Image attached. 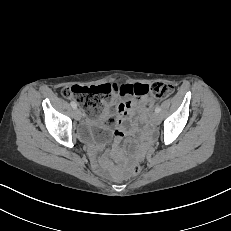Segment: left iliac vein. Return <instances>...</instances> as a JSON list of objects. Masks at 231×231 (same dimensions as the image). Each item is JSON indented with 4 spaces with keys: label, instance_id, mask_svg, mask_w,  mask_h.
Instances as JSON below:
<instances>
[{
    "label": "left iliac vein",
    "instance_id": "4c4485c4",
    "mask_svg": "<svg viewBox=\"0 0 231 231\" xmlns=\"http://www.w3.org/2000/svg\"><path fill=\"white\" fill-rule=\"evenodd\" d=\"M151 121L154 123V124H159L160 123V115L159 113L155 112L152 114L151 116Z\"/></svg>",
    "mask_w": 231,
    "mask_h": 231
}]
</instances>
